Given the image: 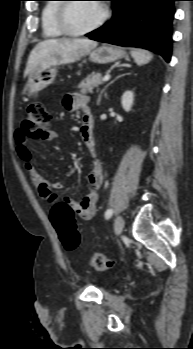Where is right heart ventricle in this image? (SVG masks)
Instances as JSON below:
<instances>
[{"label": "right heart ventricle", "mask_w": 193, "mask_h": 349, "mask_svg": "<svg viewBox=\"0 0 193 349\" xmlns=\"http://www.w3.org/2000/svg\"><path fill=\"white\" fill-rule=\"evenodd\" d=\"M41 12V30L45 39H57L63 36V33L57 28L55 23V15L59 0H48Z\"/></svg>", "instance_id": "1"}]
</instances>
